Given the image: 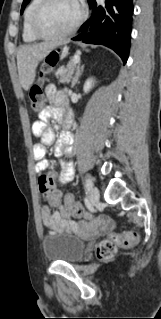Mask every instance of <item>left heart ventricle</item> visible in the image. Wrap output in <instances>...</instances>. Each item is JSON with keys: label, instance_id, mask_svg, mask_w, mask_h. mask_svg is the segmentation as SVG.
Returning <instances> with one entry per match:
<instances>
[{"label": "left heart ventricle", "instance_id": "b2bd125f", "mask_svg": "<svg viewBox=\"0 0 161 319\" xmlns=\"http://www.w3.org/2000/svg\"><path fill=\"white\" fill-rule=\"evenodd\" d=\"M78 14L74 0H50L38 19V28L46 34H54L71 25Z\"/></svg>", "mask_w": 161, "mask_h": 319}]
</instances>
